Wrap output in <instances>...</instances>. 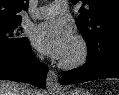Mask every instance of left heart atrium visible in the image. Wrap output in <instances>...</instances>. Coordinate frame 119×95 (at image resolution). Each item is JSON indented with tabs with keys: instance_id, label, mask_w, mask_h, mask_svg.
Returning <instances> with one entry per match:
<instances>
[{
	"instance_id": "39dd6f15",
	"label": "left heart atrium",
	"mask_w": 119,
	"mask_h": 95,
	"mask_svg": "<svg viewBox=\"0 0 119 95\" xmlns=\"http://www.w3.org/2000/svg\"><path fill=\"white\" fill-rule=\"evenodd\" d=\"M32 41L40 51L53 58L63 59L74 41V36L68 24L50 20L34 29Z\"/></svg>"
}]
</instances>
